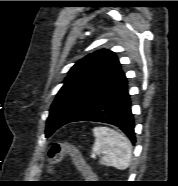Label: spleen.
Masks as SVG:
<instances>
[{
    "label": "spleen",
    "mask_w": 178,
    "mask_h": 186,
    "mask_svg": "<svg viewBox=\"0 0 178 186\" xmlns=\"http://www.w3.org/2000/svg\"><path fill=\"white\" fill-rule=\"evenodd\" d=\"M93 133L95 142L92 151L100 156L99 163L120 170L127 169L132 157L130 140L108 127H95Z\"/></svg>",
    "instance_id": "3e777b00"
}]
</instances>
